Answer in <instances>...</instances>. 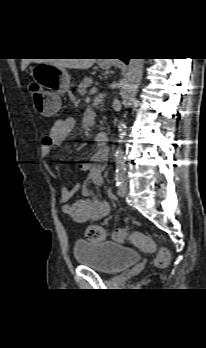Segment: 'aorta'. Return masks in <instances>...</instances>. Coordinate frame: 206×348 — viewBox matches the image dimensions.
Wrapping results in <instances>:
<instances>
[{
    "mask_svg": "<svg viewBox=\"0 0 206 348\" xmlns=\"http://www.w3.org/2000/svg\"><path fill=\"white\" fill-rule=\"evenodd\" d=\"M144 59H130L127 67V71L123 78V84L121 89V98L123 105H129L135 98L138 86L141 82L143 75ZM124 122H119V138L124 135L123 132ZM116 156H122V150L118 148L115 153Z\"/></svg>",
    "mask_w": 206,
    "mask_h": 348,
    "instance_id": "aorta-1",
    "label": "aorta"
}]
</instances>
